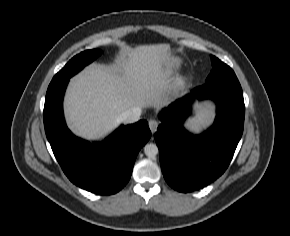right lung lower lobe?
Wrapping results in <instances>:
<instances>
[{"label": "right lung lower lobe", "instance_id": "1", "mask_svg": "<svg viewBox=\"0 0 290 236\" xmlns=\"http://www.w3.org/2000/svg\"><path fill=\"white\" fill-rule=\"evenodd\" d=\"M68 81L52 80L48 87L43 112L47 139L72 183L99 195L114 194L129 181L137 154L151 137L148 122L122 125L98 143L74 136L65 124L62 109Z\"/></svg>", "mask_w": 290, "mask_h": 236}]
</instances>
